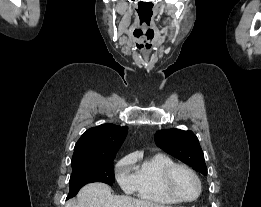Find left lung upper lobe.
I'll use <instances>...</instances> for the list:
<instances>
[{
  "instance_id": "left-lung-upper-lobe-1",
  "label": "left lung upper lobe",
  "mask_w": 261,
  "mask_h": 207,
  "mask_svg": "<svg viewBox=\"0 0 261 207\" xmlns=\"http://www.w3.org/2000/svg\"><path fill=\"white\" fill-rule=\"evenodd\" d=\"M154 138L156 144L165 152L190 165L203 175L207 174L203 151L198 138L192 131L159 130Z\"/></svg>"
}]
</instances>
